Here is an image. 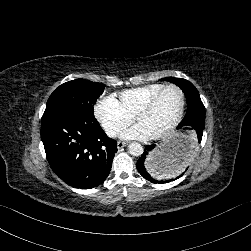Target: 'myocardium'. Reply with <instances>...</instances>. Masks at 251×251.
I'll use <instances>...</instances> for the list:
<instances>
[{
  "mask_svg": "<svg viewBox=\"0 0 251 251\" xmlns=\"http://www.w3.org/2000/svg\"><path fill=\"white\" fill-rule=\"evenodd\" d=\"M177 90L178 92H180L181 96H182V106H181V110L179 113V116L177 118V120L171 124L170 126L166 127L165 129L161 130L159 133L156 134V136L158 138H163L166 137L170 134H172L173 132H175L182 124L184 117H185V112H186V108H187V95L186 92L184 91L183 88H181L180 86L171 84V85H166L164 86L162 89H160L157 93H155L150 99H148L143 105H141L137 111H143V110H150L152 109L155 104L157 103V101L159 100V98L168 90Z\"/></svg>",
  "mask_w": 251,
  "mask_h": 251,
  "instance_id": "1",
  "label": "myocardium"
}]
</instances>
